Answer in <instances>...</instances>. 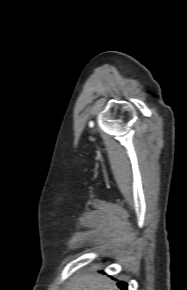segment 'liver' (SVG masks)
Listing matches in <instances>:
<instances>
[{"label": "liver", "instance_id": "liver-1", "mask_svg": "<svg viewBox=\"0 0 187 290\" xmlns=\"http://www.w3.org/2000/svg\"><path fill=\"white\" fill-rule=\"evenodd\" d=\"M69 290H118L109 279L93 274H80L74 278Z\"/></svg>", "mask_w": 187, "mask_h": 290}]
</instances>
